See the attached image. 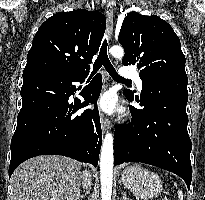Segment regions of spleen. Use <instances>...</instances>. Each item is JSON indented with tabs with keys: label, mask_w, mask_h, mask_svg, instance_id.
Returning a JSON list of instances; mask_svg holds the SVG:
<instances>
[{
	"label": "spleen",
	"mask_w": 205,
	"mask_h": 200,
	"mask_svg": "<svg viewBox=\"0 0 205 200\" xmlns=\"http://www.w3.org/2000/svg\"><path fill=\"white\" fill-rule=\"evenodd\" d=\"M174 185H175V187H177V185L175 183H174ZM177 195H178V199L179 200H183V193H182V191L178 190L177 191Z\"/></svg>",
	"instance_id": "spleen-1"
}]
</instances>
